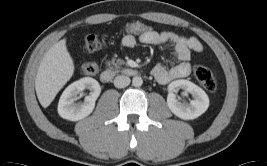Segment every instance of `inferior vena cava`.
Returning a JSON list of instances; mask_svg holds the SVG:
<instances>
[{
    "instance_id": "602c4592",
    "label": "inferior vena cava",
    "mask_w": 267,
    "mask_h": 166,
    "mask_svg": "<svg viewBox=\"0 0 267 166\" xmlns=\"http://www.w3.org/2000/svg\"><path fill=\"white\" fill-rule=\"evenodd\" d=\"M130 84V78L124 75H119L114 79V86L117 88H124Z\"/></svg>"
}]
</instances>
